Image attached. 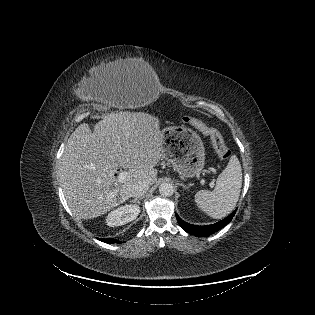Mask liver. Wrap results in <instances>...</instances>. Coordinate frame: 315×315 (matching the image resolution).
I'll return each mask as SVG.
<instances>
[{
	"label": "liver",
	"mask_w": 315,
	"mask_h": 315,
	"mask_svg": "<svg viewBox=\"0 0 315 315\" xmlns=\"http://www.w3.org/2000/svg\"><path fill=\"white\" fill-rule=\"evenodd\" d=\"M120 64L127 68L135 63ZM159 126L151 114L120 111L97 122L93 132L87 123L75 129L60 159V180L78 219L101 216L130 198L138 183L157 181L155 166L163 157ZM118 167L128 170L123 182L115 177Z\"/></svg>",
	"instance_id": "liver-1"
}]
</instances>
